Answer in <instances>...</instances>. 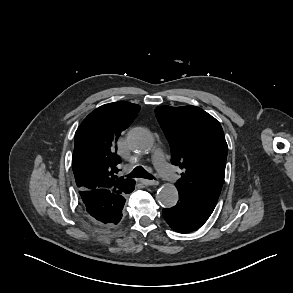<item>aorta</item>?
I'll use <instances>...</instances> for the list:
<instances>
[{"label": "aorta", "instance_id": "762f6f07", "mask_svg": "<svg viewBox=\"0 0 293 293\" xmlns=\"http://www.w3.org/2000/svg\"><path fill=\"white\" fill-rule=\"evenodd\" d=\"M128 143L135 151L146 153L152 149L154 137L145 128H134L128 134ZM157 198L163 207L171 208L178 201V190L173 184L166 183L158 190Z\"/></svg>", "mask_w": 293, "mask_h": 293}]
</instances>
